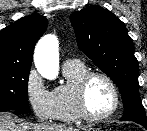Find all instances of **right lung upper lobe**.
I'll list each match as a JSON object with an SVG mask.
<instances>
[{
  "label": "right lung upper lobe",
  "mask_w": 147,
  "mask_h": 131,
  "mask_svg": "<svg viewBox=\"0 0 147 131\" xmlns=\"http://www.w3.org/2000/svg\"><path fill=\"white\" fill-rule=\"evenodd\" d=\"M48 21L30 15L0 31V66L30 67L35 43L45 32Z\"/></svg>",
  "instance_id": "1"
}]
</instances>
